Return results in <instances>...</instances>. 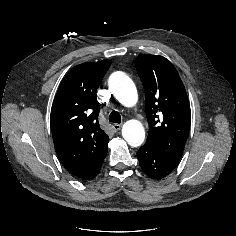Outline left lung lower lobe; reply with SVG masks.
Wrapping results in <instances>:
<instances>
[{
	"mask_svg": "<svg viewBox=\"0 0 236 236\" xmlns=\"http://www.w3.org/2000/svg\"><path fill=\"white\" fill-rule=\"evenodd\" d=\"M137 157L143 171L152 179H162L178 165V162L164 157L146 145L139 149Z\"/></svg>",
	"mask_w": 236,
	"mask_h": 236,
	"instance_id": "obj_1",
	"label": "left lung lower lobe"
}]
</instances>
